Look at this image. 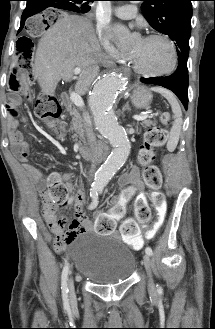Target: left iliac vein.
Here are the masks:
<instances>
[{
	"mask_svg": "<svg viewBox=\"0 0 215 329\" xmlns=\"http://www.w3.org/2000/svg\"><path fill=\"white\" fill-rule=\"evenodd\" d=\"M143 263H144V267L147 271L148 277H149V289L151 291L154 290V284H153V280H152V274H151V260L148 254H145L143 257Z\"/></svg>",
	"mask_w": 215,
	"mask_h": 329,
	"instance_id": "1",
	"label": "left iliac vein"
}]
</instances>
